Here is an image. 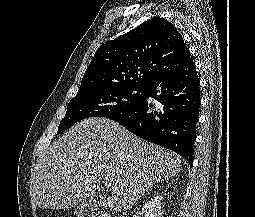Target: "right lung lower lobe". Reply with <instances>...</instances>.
<instances>
[{"label": "right lung lower lobe", "instance_id": "right-lung-lower-lobe-1", "mask_svg": "<svg viewBox=\"0 0 255 217\" xmlns=\"http://www.w3.org/2000/svg\"><path fill=\"white\" fill-rule=\"evenodd\" d=\"M200 81L193 59L151 82L143 99L132 108L111 115L133 134L176 152L193 163L195 129L199 118ZM152 97L159 103L149 104Z\"/></svg>", "mask_w": 255, "mask_h": 217}]
</instances>
